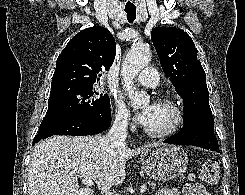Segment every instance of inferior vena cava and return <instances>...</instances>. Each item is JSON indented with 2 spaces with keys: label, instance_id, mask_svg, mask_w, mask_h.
I'll return each instance as SVG.
<instances>
[{
  "label": "inferior vena cava",
  "instance_id": "inferior-vena-cava-1",
  "mask_svg": "<svg viewBox=\"0 0 245 195\" xmlns=\"http://www.w3.org/2000/svg\"><path fill=\"white\" fill-rule=\"evenodd\" d=\"M128 121L126 117H117L108 132L107 137L116 146H123L127 137Z\"/></svg>",
  "mask_w": 245,
  "mask_h": 195
}]
</instances>
